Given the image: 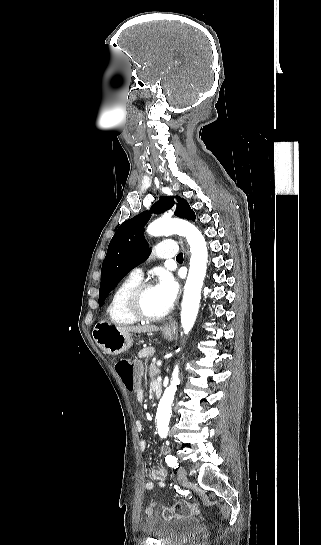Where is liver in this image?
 <instances>
[{
	"instance_id": "1",
	"label": "liver",
	"mask_w": 321,
	"mask_h": 545,
	"mask_svg": "<svg viewBox=\"0 0 321 545\" xmlns=\"http://www.w3.org/2000/svg\"><path fill=\"white\" fill-rule=\"evenodd\" d=\"M121 333H154L160 331L155 325H138V327H117Z\"/></svg>"
}]
</instances>
